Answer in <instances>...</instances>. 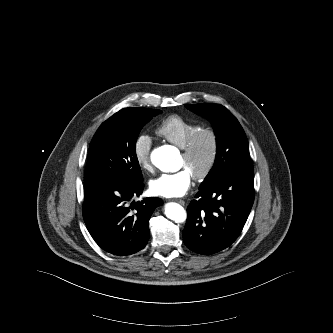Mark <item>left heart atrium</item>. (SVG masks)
Masks as SVG:
<instances>
[{"label": "left heart atrium", "instance_id": "39dd6f15", "mask_svg": "<svg viewBox=\"0 0 333 333\" xmlns=\"http://www.w3.org/2000/svg\"><path fill=\"white\" fill-rule=\"evenodd\" d=\"M192 175L183 168L175 173L163 174L150 181V191L157 196L176 198L186 194L191 186Z\"/></svg>", "mask_w": 333, "mask_h": 333}]
</instances>
